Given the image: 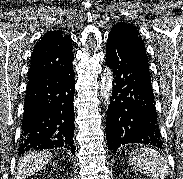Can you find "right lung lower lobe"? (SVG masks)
<instances>
[{"instance_id": "right-lung-lower-lobe-1", "label": "right lung lower lobe", "mask_w": 183, "mask_h": 179, "mask_svg": "<svg viewBox=\"0 0 183 179\" xmlns=\"http://www.w3.org/2000/svg\"><path fill=\"white\" fill-rule=\"evenodd\" d=\"M74 91V72L68 76L41 75L29 80L19 154L56 147H64L75 154Z\"/></svg>"}]
</instances>
